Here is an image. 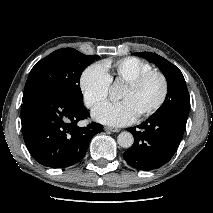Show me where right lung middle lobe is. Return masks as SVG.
Returning <instances> with one entry per match:
<instances>
[{
    "instance_id": "dd1d6c3e",
    "label": "right lung middle lobe",
    "mask_w": 213,
    "mask_h": 213,
    "mask_svg": "<svg viewBox=\"0 0 213 213\" xmlns=\"http://www.w3.org/2000/svg\"><path fill=\"white\" fill-rule=\"evenodd\" d=\"M97 58L73 48L59 49L40 60L30 71L25 88L45 86L76 106L83 105L80 77L84 68Z\"/></svg>"
}]
</instances>
